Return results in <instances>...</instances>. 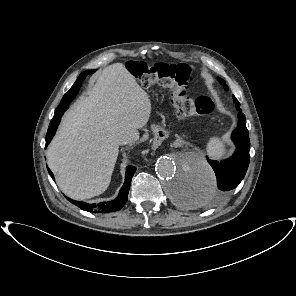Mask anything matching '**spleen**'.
Here are the masks:
<instances>
[{
	"mask_svg": "<svg viewBox=\"0 0 296 296\" xmlns=\"http://www.w3.org/2000/svg\"><path fill=\"white\" fill-rule=\"evenodd\" d=\"M207 152L214 159L222 157L225 154L222 141L217 137L210 138L207 144Z\"/></svg>",
	"mask_w": 296,
	"mask_h": 296,
	"instance_id": "3e777b00",
	"label": "spleen"
}]
</instances>
